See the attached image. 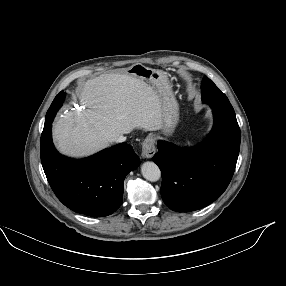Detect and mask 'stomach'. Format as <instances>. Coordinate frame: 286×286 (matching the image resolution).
Returning a JSON list of instances; mask_svg holds the SVG:
<instances>
[{
    "mask_svg": "<svg viewBox=\"0 0 286 286\" xmlns=\"http://www.w3.org/2000/svg\"><path fill=\"white\" fill-rule=\"evenodd\" d=\"M126 73L147 82L158 92L163 107L162 130L164 135L171 136L179 119V108L166 72L136 63Z\"/></svg>",
    "mask_w": 286,
    "mask_h": 286,
    "instance_id": "1",
    "label": "stomach"
}]
</instances>
